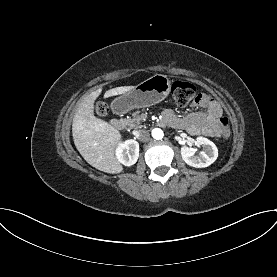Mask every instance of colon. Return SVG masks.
Masks as SVG:
<instances>
[{"mask_svg":"<svg viewBox=\"0 0 277 277\" xmlns=\"http://www.w3.org/2000/svg\"><path fill=\"white\" fill-rule=\"evenodd\" d=\"M171 92L176 103L183 106L191 102H197L202 97L198 87L195 84L186 81H175L172 85ZM95 111L99 116H104L108 112V107L106 104L99 102L96 104ZM227 122L226 118L221 119L223 126L222 136L225 139H230L231 130L228 128Z\"/></svg>","mask_w":277,"mask_h":277,"instance_id":"1","label":"colon"}]
</instances>
